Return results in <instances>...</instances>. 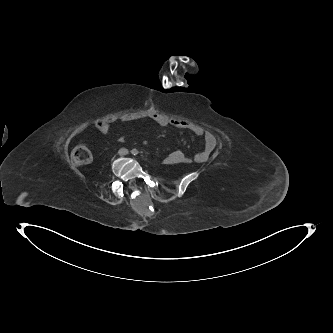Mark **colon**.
<instances>
[{"label": "colon", "mask_w": 333, "mask_h": 333, "mask_svg": "<svg viewBox=\"0 0 333 333\" xmlns=\"http://www.w3.org/2000/svg\"><path fill=\"white\" fill-rule=\"evenodd\" d=\"M186 156L183 154L182 151L179 149H175L173 151H170L167 153L164 157L163 160L166 163H169L171 161H186ZM92 160V154L90 150L84 146H77L71 153V162L76 165V166H81V165H86L90 163Z\"/></svg>", "instance_id": "1"}]
</instances>
